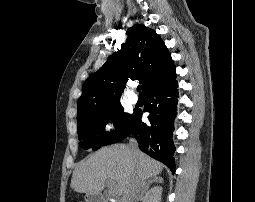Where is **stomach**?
<instances>
[{
  "mask_svg": "<svg viewBox=\"0 0 255 202\" xmlns=\"http://www.w3.org/2000/svg\"><path fill=\"white\" fill-rule=\"evenodd\" d=\"M85 202H92L89 195L85 196Z\"/></svg>",
  "mask_w": 255,
  "mask_h": 202,
  "instance_id": "obj_1",
  "label": "stomach"
}]
</instances>
